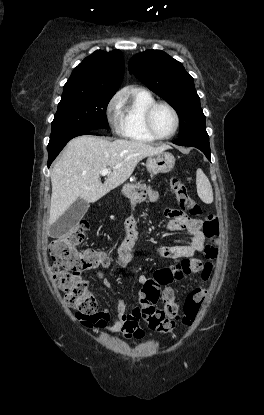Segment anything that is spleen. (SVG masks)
<instances>
[{
  "label": "spleen",
  "instance_id": "obj_1",
  "mask_svg": "<svg viewBox=\"0 0 264 415\" xmlns=\"http://www.w3.org/2000/svg\"><path fill=\"white\" fill-rule=\"evenodd\" d=\"M196 185L200 199L206 204H211L213 202L212 186L209 179L200 168L196 171Z\"/></svg>",
  "mask_w": 264,
  "mask_h": 415
}]
</instances>
